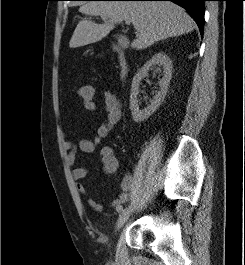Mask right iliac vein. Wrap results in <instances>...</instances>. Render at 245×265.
Wrapping results in <instances>:
<instances>
[{
	"instance_id": "right-iliac-vein-1",
	"label": "right iliac vein",
	"mask_w": 245,
	"mask_h": 265,
	"mask_svg": "<svg viewBox=\"0 0 245 265\" xmlns=\"http://www.w3.org/2000/svg\"><path fill=\"white\" fill-rule=\"evenodd\" d=\"M132 211H133L132 206H129L123 210V212L120 214V216L116 222V226H115L116 231L119 230L121 227H123V225L127 222L130 215L132 214Z\"/></svg>"
}]
</instances>
